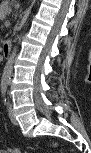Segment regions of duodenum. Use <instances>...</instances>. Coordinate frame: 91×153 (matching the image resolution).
I'll return each instance as SVG.
<instances>
[{
    "instance_id": "duodenum-1",
    "label": "duodenum",
    "mask_w": 91,
    "mask_h": 153,
    "mask_svg": "<svg viewBox=\"0 0 91 153\" xmlns=\"http://www.w3.org/2000/svg\"><path fill=\"white\" fill-rule=\"evenodd\" d=\"M11 50H12L11 41L10 40L5 41L4 45H3V56H4V58L7 59L10 56Z\"/></svg>"
}]
</instances>
